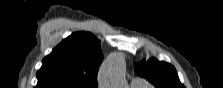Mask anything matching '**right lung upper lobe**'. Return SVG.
<instances>
[{"label":"right lung upper lobe","mask_w":223,"mask_h":88,"mask_svg":"<svg viewBox=\"0 0 223 88\" xmlns=\"http://www.w3.org/2000/svg\"><path fill=\"white\" fill-rule=\"evenodd\" d=\"M101 44L88 32L64 39L42 61L36 88H97Z\"/></svg>","instance_id":"obj_1"}]
</instances>
